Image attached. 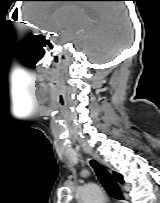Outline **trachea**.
<instances>
[{
  "mask_svg": "<svg viewBox=\"0 0 160 203\" xmlns=\"http://www.w3.org/2000/svg\"><path fill=\"white\" fill-rule=\"evenodd\" d=\"M90 165L96 172V175L106 192L113 198L123 200V194L112 175L103 166L94 160L90 161Z\"/></svg>",
  "mask_w": 160,
  "mask_h": 203,
  "instance_id": "3493384b",
  "label": "trachea"
}]
</instances>
